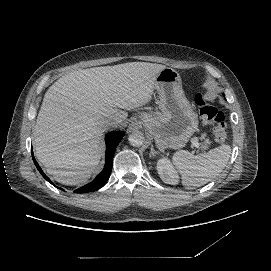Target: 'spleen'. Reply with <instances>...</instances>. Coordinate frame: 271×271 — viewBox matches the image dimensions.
Masks as SVG:
<instances>
[{
    "label": "spleen",
    "mask_w": 271,
    "mask_h": 271,
    "mask_svg": "<svg viewBox=\"0 0 271 271\" xmlns=\"http://www.w3.org/2000/svg\"><path fill=\"white\" fill-rule=\"evenodd\" d=\"M231 156V146L222 144L208 153L193 155L189 151H177L171 161L179 173L180 183L188 189L200 187L220 174Z\"/></svg>",
    "instance_id": "obj_1"
}]
</instances>
